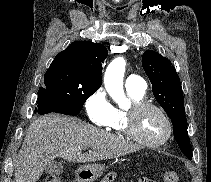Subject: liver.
Listing matches in <instances>:
<instances>
[{"label": "liver", "mask_w": 211, "mask_h": 182, "mask_svg": "<svg viewBox=\"0 0 211 182\" xmlns=\"http://www.w3.org/2000/svg\"><path fill=\"white\" fill-rule=\"evenodd\" d=\"M92 148L82 153V149ZM139 147L77 118L56 113L36 119L28 128L15 162V182H36L56 157L72 163L127 155Z\"/></svg>", "instance_id": "obj_1"}]
</instances>
